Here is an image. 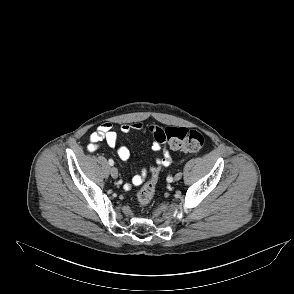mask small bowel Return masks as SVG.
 Returning a JSON list of instances; mask_svg holds the SVG:
<instances>
[{
	"label": "small bowel",
	"mask_w": 294,
	"mask_h": 294,
	"mask_svg": "<svg viewBox=\"0 0 294 294\" xmlns=\"http://www.w3.org/2000/svg\"><path fill=\"white\" fill-rule=\"evenodd\" d=\"M120 130L123 133H130L132 131L145 132V127L141 123H126L120 126ZM105 141L106 144L114 148L117 144V132L115 127L110 122L102 123L98 128L90 135L89 144L87 149L89 152H94L98 149L101 142ZM154 139L152 144V150L154 152H162L161 157L157 158L155 164L150 167H143L141 172L135 175L131 183L125 184L124 188L129 190L132 186L140 185L148 174L159 170L160 167L167 166L170 163V155L163 145ZM118 156L122 160H127L130 157V150L126 146H119L117 149Z\"/></svg>",
	"instance_id": "small-bowel-1"
}]
</instances>
